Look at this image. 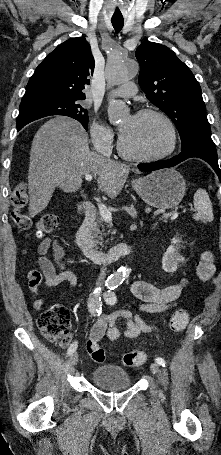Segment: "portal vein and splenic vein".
Masks as SVG:
<instances>
[{
  "label": "portal vein and splenic vein",
  "instance_id": "1",
  "mask_svg": "<svg viewBox=\"0 0 221 455\" xmlns=\"http://www.w3.org/2000/svg\"><path fill=\"white\" fill-rule=\"evenodd\" d=\"M92 178H93V176L91 174H86L85 175V180L86 181H91ZM98 209H99V213L102 216V218L106 222L112 223V214L109 211V209L104 204H101V203L98 204ZM178 215H179V212H173L170 215H166L164 218L165 219H169V220H175L178 217Z\"/></svg>",
  "mask_w": 221,
  "mask_h": 455
}]
</instances>
